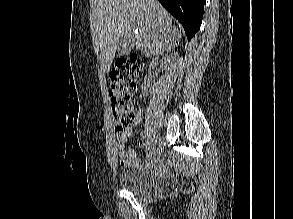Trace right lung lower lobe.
I'll return each mask as SVG.
<instances>
[{
	"label": "right lung lower lobe",
	"mask_w": 293,
	"mask_h": 219,
	"mask_svg": "<svg viewBox=\"0 0 293 219\" xmlns=\"http://www.w3.org/2000/svg\"><path fill=\"white\" fill-rule=\"evenodd\" d=\"M159 1L182 24L190 41L201 25L205 0Z\"/></svg>",
	"instance_id": "right-lung-lower-lobe-1"
}]
</instances>
